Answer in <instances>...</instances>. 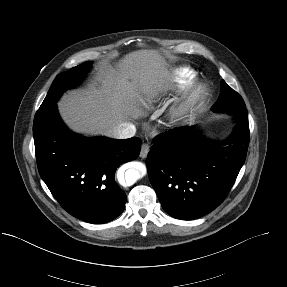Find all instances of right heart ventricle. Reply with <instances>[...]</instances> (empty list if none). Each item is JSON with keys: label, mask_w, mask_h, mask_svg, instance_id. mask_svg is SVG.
I'll use <instances>...</instances> for the list:
<instances>
[{"label": "right heart ventricle", "mask_w": 287, "mask_h": 287, "mask_svg": "<svg viewBox=\"0 0 287 287\" xmlns=\"http://www.w3.org/2000/svg\"><path fill=\"white\" fill-rule=\"evenodd\" d=\"M194 78H195V73L188 68H179L175 70L173 75L171 76L169 86L164 90L157 91L151 94L147 98V103L155 102L157 99H159L162 95L169 92L170 90H175V89L186 87L194 80Z\"/></svg>", "instance_id": "e07e8e85"}]
</instances>
